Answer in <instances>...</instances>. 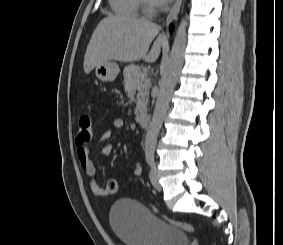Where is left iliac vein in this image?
<instances>
[{
	"label": "left iliac vein",
	"instance_id": "obj_1",
	"mask_svg": "<svg viewBox=\"0 0 283 245\" xmlns=\"http://www.w3.org/2000/svg\"><path fill=\"white\" fill-rule=\"evenodd\" d=\"M149 177H150V181H151L152 185L154 186V188L158 191H161L162 186L159 182L158 171H157V168L155 166H153L151 168Z\"/></svg>",
	"mask_w": 283,
	"mask_h": 245
}]
</instances>
